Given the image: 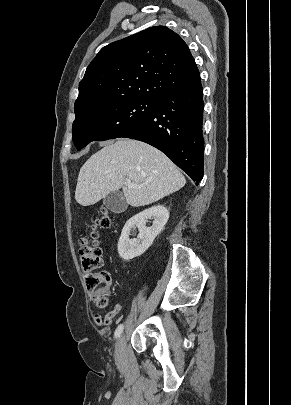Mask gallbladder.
Segmentation results:
<instances>
[{
  "mask_svg": "<svg viewBox=\"0 0 291 405\" xmlns=\"http://www.w3.org/2000/svg\"><path fill=\"white\" fill-rule=\"evenodd\" d=\"M107 209L114 213L124 212L127 208V202L124 195L119 191L109 193L103 200Z\"/></svg>",
  "mask_w": 291,
  "mask_h": 405,
  "instance_id": "gallbladder-1",
  "label": "gallbladder"
}]
</instances>
